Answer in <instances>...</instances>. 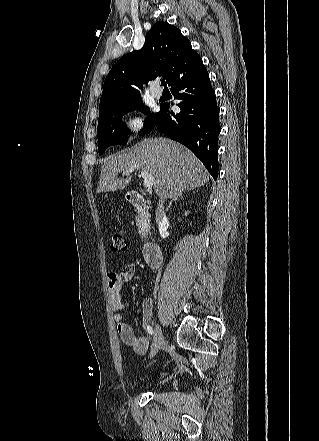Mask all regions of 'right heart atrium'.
Listing matches in <instances>:
<instances>
[{
	"mask_svg": "<svg viewBox=\"0 0 319 441\" xmlns=\"http://www.w3.org/2000/svg\"><path fill=\"white\" fill-rule=\"evenodd\" d=\"M145 126L144 119L138 114L128 116L125 121V130L128 135L135 137L141 134Z\"/></svg>",
	"mask_w": 319,
	"mask_h": 441,
	"instance_id": "d8ad5b80",
	"label": "right heart atrium"
}]
</instances>
